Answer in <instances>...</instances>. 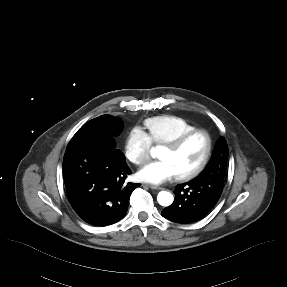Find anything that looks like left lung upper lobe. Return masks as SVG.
<instances>
[{"mask_svg":"<svg viewBox=\"0 0 287 287\" xmlns=\"http://www.w3.org/2000/svg\"><path fill=\"white\" fill-rule=\"evenodd\" d=\"M228 158V147L224 137L217 142L212 158L204 171L192 181L198 183L204 188L213 181L223 184L226 173V165Z\"/></svg>","mask_w":287,"mask_h":287,"instance_id":"5c2ea615","label":"left lung upper lobe"}]
</instances>
